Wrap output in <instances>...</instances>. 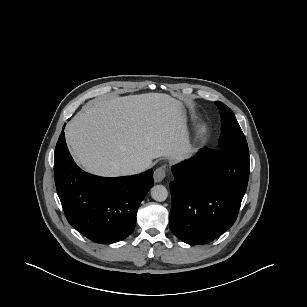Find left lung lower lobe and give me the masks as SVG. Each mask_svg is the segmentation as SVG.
Segmentation results:
<instances>
[{"label":"left lung lower lobe","instance_id":"0a47b994","mask_svg":"<svg viewBox=\"0 0 307 307\" xmlns=\"http://www.w3.org/2000/svg\"><path fill=\"white\" fill-rule=\"evenodd\" d=\"M249 157L202 148L172 167L169 226L188 244L213 241L235 222L249 178Z\"/></svg>","mask_w":307,"mask_h":307}]
</instances>
